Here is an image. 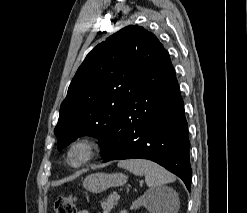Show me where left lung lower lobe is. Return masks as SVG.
Here are the masks:
<instances>
[{
	"label": "left lung lower lobe",
	"mask_w": 247,
	"mask_h": 213,
	"mask_svg": "<svg viewBox=\"0 0 247 213\" xmlns=\"http://www.w3.org/2000/svg\"><path fill=\"white\" fill-rule=\"evenodd\" d=\"M188 125L183 100L169 55L143 76L128 99L103 161L152 160L180 177L190 191Z\"/></svg>",
	"instance_id": "1"
}]
</instances>
